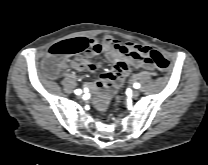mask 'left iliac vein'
Masks as SVG:
<instances>
[{
	"label": "left iliac vein",
	"mask_w": 208,
	"mask_h": 165,
	"mask_svg": "<svg viewBox=\"0 0 208 165\" xmlns=\"http://www.w3.org/2000/svg\"><path fill=\"white\" fill-rule=\"evenodd\" d=\"M140 95V92L138 91V90H134L133 92H132V97L133 98H136V97H138Z\"/></svg>",
	"instance_id": "1"
}]
</instances>
